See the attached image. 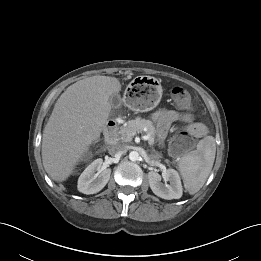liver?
<instances>
[{
  "label": "liver",
  "instance_id": "liver-1",
  "mask_svg": "<svg viewBox=\"0 0 261 261\" xmlns=\"http://www.w3.org/2000/svg\"><path fill=\"white\" fill-rule=\"evenodd\" d=\"M115 77L92 76L70 85L58 98L43 130L42 161L55 181H65L89 146L99 139L111 111Z\"/></svg>",
  "mask_w": 261,
  "mask_h": 261
}]
</instances>
